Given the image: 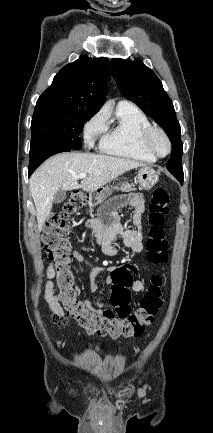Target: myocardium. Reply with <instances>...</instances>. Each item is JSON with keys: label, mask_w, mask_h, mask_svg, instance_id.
<instances>
[{"label": "myocardium", "mask_w": 213, "mask_h": 433, "mask_svg": "<svg viewBox=\"0 0 213 433\" xmlns=\"http://www.w3.org/2000/svg\"><path fill=\"white\" fill-rule=\"evenodd\" d=\"M157 134L161 135L167 143L168 149H167L166 153H164V154L160 153L155 146L154 139H155V136ZM141 143H142L143 148L147 152H149L150 154L155 156L156 158H164V157L168 156L172 151V141H171L169 135L167 134V132L163 128L158 127V126L151 125L148 128H146L142 132Z\"/></svg>", "instance_id": "obj_1"}]
</instances>
